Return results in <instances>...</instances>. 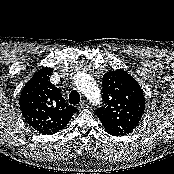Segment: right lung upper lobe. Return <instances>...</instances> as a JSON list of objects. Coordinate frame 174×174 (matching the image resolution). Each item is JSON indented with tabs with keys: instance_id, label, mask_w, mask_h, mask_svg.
Segmentation results:
<instances>
[{
	"instance_id": "obj_1",
	"label": "right lung upper lobe",
	"mask_w": 174,
	"mask_h": 174,
	"mask_svg": "<svg viewBox=\"0 0 174 174\" xmlns=\"http://www.w3.org/2000/svg\"><path fill=\"white\" fill-rule=\"evenodd\" d=\"M52 73L49 67L38 70L25 84L19 98L25 121L43 135L62 130L77 111L64 101L58 88L50 82Z\"/></svg>"
}]
</instances>
